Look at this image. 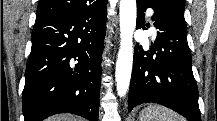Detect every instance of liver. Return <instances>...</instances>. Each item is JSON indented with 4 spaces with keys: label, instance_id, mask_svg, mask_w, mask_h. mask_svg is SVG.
<instances>
[{
    "label": "liver",
    "instance_id": "liver-1",
    "mask_svg": "<svg viewBox=\"0 0 217 121\" xmlns=\"http://www.w3.org/2000/svg\"><path fill=\"white\" fill-rule=\"evenodd\" d=\"M47 121H76L74 117L62 114L48 118Z\"/></svg>",
    "mask_w": 217,
    "mask_h": 121
}]
</instances>
